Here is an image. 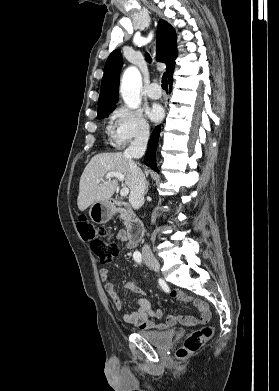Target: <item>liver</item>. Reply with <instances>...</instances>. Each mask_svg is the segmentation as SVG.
I'll return each mask as SVG.
<instances>
[{"label": "liver", "mask_w": 279, "mask_h": 391, "mask_svg": "<svg viewBox=\"0 0 279 391\" xmlns=\"http://www.w3.org/2000/svg\"><path fill=\"white\" fill-rule=\"evenodd\" d=\"M111 172L121 173L125 184L132 187V174L129 160L121 153H101L95 155L84 169L80 182L77 205L84 211L95 202L110 199L114 194L118 182L116 179H107ZM100 180V183L96 181Z\"/></svg>", "instance_id": "obj_1"}]
</instances>
